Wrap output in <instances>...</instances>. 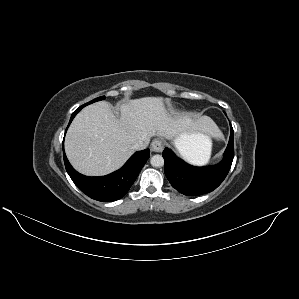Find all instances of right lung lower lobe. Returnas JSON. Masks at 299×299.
Wrapping results in <instances>:
<instances>
[{
    "label": "right lung lower lobe",
    "mask_w": 299,
    "mask_h": 299,
    "mask_svg": "<svg viewBox=\"0 0 299 299\" xmlns=\"http://www.w3.org/2000/svg\"><path fill=\"white\" fill-rule=\"evenodd\" d=\"M83 107L85 106H80L72 113L68 127L73 118ZM63 156L67 173L75 185L83 193L98 201L111 202L122 198L127 193L149 158L150 150L145 149L136 152L122 168L109 175L101 177H88L78 173L70 165L65 153H63Z\"/></svg>",
    "instance_id": "right-lung-lower-lobe-1"
}]
</instances>
